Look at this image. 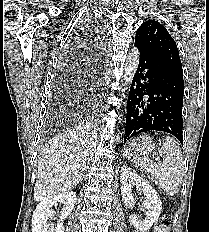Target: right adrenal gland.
<instances>
[{"label":"right adrenal gland","instance_id":"2a0ac1e0","mask_svg":"<svg viewBox=\"0 0 209 232\" xmlns=\"http://www.w3.org/2000/svg\"><path fill=\"white\" fill-rule=\"evenodd\" d=\"M85 177H86V175L84 174V175L82 176V179L85 178ZM82 179H81V180H82Z\"/></svg>","mask_w":209,"mask_h":232}]
</instances>
